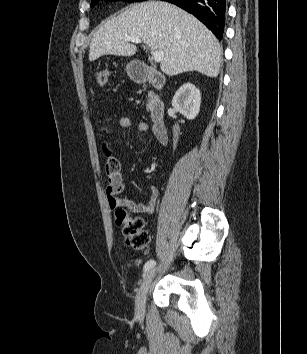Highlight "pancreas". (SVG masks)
Returning a JSON list of instances; mask_svg holds the SVG:
<instances>
[{
  "instance_id": "cf45deb5",
  "label": "pancreas",
  "mask_w": 307,
  "mask_h": 354,
  "mask_svg": "<svg viewBox=\"0 0 307 354\" xmlns=\"http://www.w3.org/2000/svg\"><path fill=\"white\" fill-rule=\"evenodd\" d=\"M151 108V105L148 103L147 104V109H150Z\"/></svg>"
}]
</instances>
